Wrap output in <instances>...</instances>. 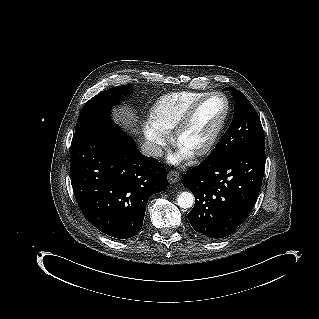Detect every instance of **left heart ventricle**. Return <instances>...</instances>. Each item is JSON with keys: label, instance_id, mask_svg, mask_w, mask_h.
<instances>
[{"label": "left heart ventricle", "instance_id": "b2bd125f", "mask_svg": "<svg viewBox=\"0 0 319 319\" xmlns=\"http://www.w3.org/2000/svg\"><path fill=\"white\" fill-rule=\"evenodd\" d=\"M224 110V102L213 97L204 102L183 130L181 143L187 149L202 145L218 124Z\"/></svg>", "mask_w": 319, "mask_h": 319}]
</instances>
